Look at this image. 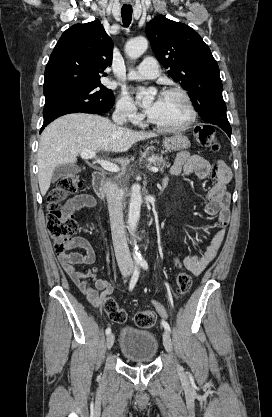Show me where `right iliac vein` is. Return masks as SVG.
Segmentation results:
<instances>
[{
	"label": "right iliac vein",
	"mask_w": 272,
	"mask_h": 417,
	"mask_svg": "<svg viewBox=\"0 0 272 417\" xmlns=\"http://www.w3.org/2000/svg\"><path fill=\"white\" fill-rule=\"evenodd\" d=\"M114 340H115L114 334L113 333H110L107 336V339H106V345H107V348L108 349H111L112 348V346L114 344Z\"/></svg>",
	"instance_id": "1"
}]
</instances>
